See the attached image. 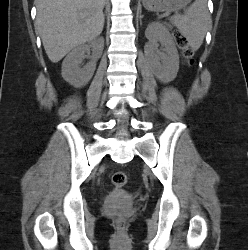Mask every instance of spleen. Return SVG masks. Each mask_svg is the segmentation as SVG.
I'll use <instances>...</instances> for the list:
<instances>
[{"label":"spleen","instance_id":"spleen-1","mask_svg":"<svg viewBox=\"0 0 248 250\" xmlns=\"http://www.w3.org/2000/svg\"><path fill=\"white\" fill-rule=\"evenodd\" d=\"M170 21L187 39L193 50H197L203 43L206 32L211 25L207 0H195L183 15H174Z\"/></svg>","mask_w":248,"mask_h":250}]
</instances>
